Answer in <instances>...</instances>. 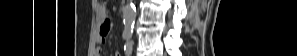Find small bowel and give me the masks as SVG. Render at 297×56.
Here are the masks:
<instances>
[{"instance_id":"obj_1","label":"small bowel","mask_w":297,"mask_h":56,"mask_svg":"<svg viewBox=\"0 0 297 56\" xmlns=\"http://www.w3.org/2000/svg\"><path fill=\"white\" fill-rule=\"evenodd\" d=\"M98 16L100 19V30H99V43L102 44L106 41V38L111 30L112 23L108 19L107 14H106V8L103 3L100 4L99 10H98ZM100 47L96 48V56L100 55ZM116 56H119V54H116Z\"/></svg>"}]
</instances>
